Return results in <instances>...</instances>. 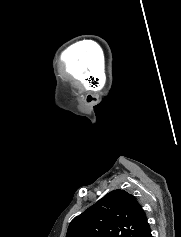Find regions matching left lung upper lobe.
Instances as JSON below:
<instances>
[{
  "instance_id": "1",
  "label": "left lung upper lobe",
  "mask_w": 181,
  "mask_h": 237,
  "mask_svg": "<svg viewBox=\"0 0 181 237\" xmlns=\"http://www.w3.org/2000/svg\"><path fill=\"white\" fill-rule=\"evenodd\" d=\"M148 226L137 199L117 189L75 217L66 237H139Z\"/></svg>"
}]
</instances>
